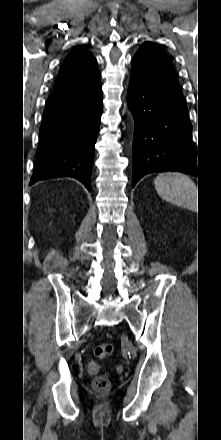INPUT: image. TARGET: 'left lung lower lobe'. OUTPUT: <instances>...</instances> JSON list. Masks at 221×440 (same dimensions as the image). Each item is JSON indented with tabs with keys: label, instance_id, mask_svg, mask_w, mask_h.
I'll use <instances>...</instances> for the list:
<instances>
[{
	"label": "left lung lower lobe",
	"instance_id": "1",
	"mask_svg": "<svg viewBox=\"0 0 221 440\" xmlns=\"http://www.w3.org/2000/svg\"><path fill=\"white\" fill-rule=\"evenodd\" d=\"M127 102L135 121L132 186L152 172L179 171L199 178L192 125L173 71L138 50L132 59Z\"/></svg>",
	"mask_w": 221,
	"mask_h": 440
}]
</instances>
